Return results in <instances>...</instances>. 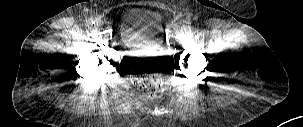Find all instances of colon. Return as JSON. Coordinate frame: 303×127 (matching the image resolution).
Instances as JSON below:
<instances>
[{
  "mask_svg": "<svg viewBox=\"0 0 303 127\" xmlns=\"http://www.w3.org/2000/svg\"><path fill=\"white\" fill-rule=\"evenodd\" d=\"M134 74L137 76L136 85L142 91L157 97L163 94L164 88L162 75L164 65L159 60H143L134 66Z\"/></svg>",
  "mask_w": 303,
  "mask_h": 127,
  "instance_id": "obj_1",
  "label": "colon"
}]
</instances>
